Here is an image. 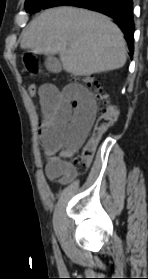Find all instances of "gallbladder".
Here are the masks:
<instances>
[{"mask_svg": "<svg viewBox=\"0 0 148 279\" xmlns=\"http://www.w3.org/2000/svg\"><path fill=\"white\" fill-rule=\"evenodd\" d=\"M45 67L49 72L52 73H59L62 70L61 63L57 58L52 55H48L45 59Z\"/></svg>", "mask_w": 148, "mask_h": 279, "instance_id": "bac80fb5", "label": "gallbladder"}]
</instances>
